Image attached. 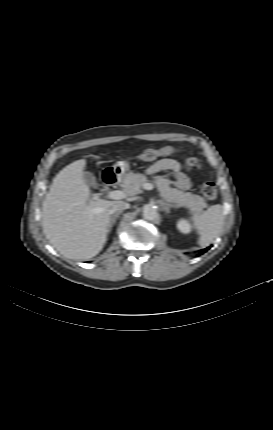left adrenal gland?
<instances>
[{
  "mask_svg": "<svg viewBox=\"0 0 273 430\" xmlns=\"http://www.w3.org/2000/svg\"><path fill=\"white\" fill-rule=\"evenodd\" d=\"M162 209L165 211L166 214L170 213V208L173 207L172 204L166 203L164 201H159Z\"/></svg>",
  "mask_w": 273,
  "mask_h": 430,
  "instance_id": "left-adrenal-gland-1",
  "label": "left adrenal gland"
}]
</instances>
